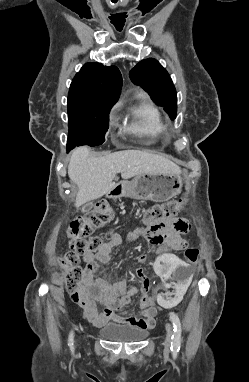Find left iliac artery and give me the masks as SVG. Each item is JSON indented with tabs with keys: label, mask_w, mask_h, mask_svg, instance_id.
Wrapping results in <instances>:
<instances>
[{
	"label": "left iliac artery",
	"mask_w": 249,
	"mask_h": 382,
	"mask_svg": "<svg viewBox=\"0 0 249 382\" xmlns=\"http://www.w3.org/2000/svg\"><path fill=\"white\" fill-rule=\"evenodd\" d=\"M170 319L173 324V335H172V342H171V348L174 351L180 350L181 345V323L179 320V317L175 313L170 314Z\"/></svg>",
	"instance_id": "44dca946"
}]
</instances>
